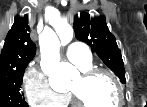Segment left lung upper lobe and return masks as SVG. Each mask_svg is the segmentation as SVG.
Wrapping results in <instances>:
<instances>
[{
    "label": "left lung upper lobe",
    "mask_w": 147,
    "mask_h": 107,
    "mask_svg": "<svg viewBox=\"0 0 147 107\" xmlns=\"http://www.w3.org/2000/svg\"><path fill=\"white\" fill-rule=\"evenodd\" d=\"M76 38L87 43L96 52L107 67L126 83L122 55L118 49L114 35L109 31L104 17H90L82 12L74 18Z\"/></svg>",
    "instance_id": "1"
}]
</instances>
